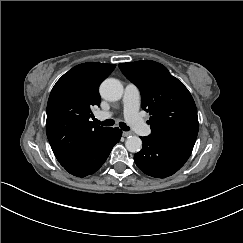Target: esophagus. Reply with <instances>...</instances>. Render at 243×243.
I'll use <instances>...</instances> for the list:
<instances>
[{
  "mask_svg": "<svg viewBox=\"0 0 243 243\" xmlns=\"http://www.w3.org/2000/svg\"><path fill=\"white\" fill-rule=\"evenodd\" d=\"M122 135H123V137H128V136L133 135V133L132 132H123Z\"/></svg>",
  "mask_w": 243,
  "mask_h": 243,
  "instance_id": "esophagus-1",
  "label": "esophagus"
}]
</instances>
